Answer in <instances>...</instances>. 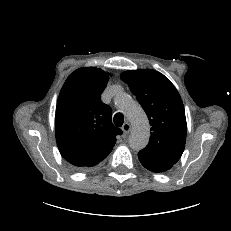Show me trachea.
Masks as SVG:
<instances>
[{"label": "trachea", "instance_id": "obj_1", "mask_svg": "<svg viewBox=\"0 0 231 231\" xmlns=\"http://www.w3.org/2000/svg\"><path fill=\"white\" fill-rule=\"evenodd\" d=\"M114 124L117 126V127H121L123 125V122H124V116L123 114L121 113H116L114 115Z\"/></svg>", "mask_w": 231, "mask_h": 231}]
</instances>
